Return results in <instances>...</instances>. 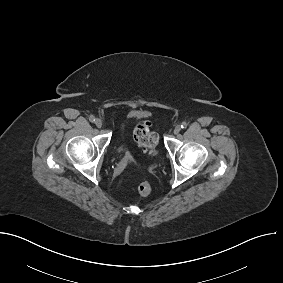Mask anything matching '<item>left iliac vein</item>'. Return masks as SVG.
<instances>
[{
	"label": "left iliac vein",
	"instance_id": "1",
	"mask_svg": "<svg viewBox=\"0 0 283 283\" xmlns=\"http://www.w3.org/2000/svg\"><path fill=\"white\" fill-rule=\"evenodd\" d=\"M180 130H181L180 126L177 125V126L174 128V133H175V134H178V133L180 132Z\"/></svg>",
	"mask_w": 283,
	"mask_h": 283
}]
</instances>
